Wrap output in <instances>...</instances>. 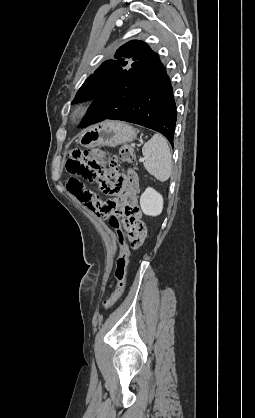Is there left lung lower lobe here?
I'll return each mask as SVG.
<instances>
[{
  "instance_id": "1",
  "label": "left lung lower lobe",
  "mask_w": 255,
  "mask_h": 418,
  "mask_svg": "<svg viewBox=\"0 0 255 418\" xmlns=\"http://www.w3.org/2000/svg\"><path fill=\"white\" fill-rule=\"evenodd\" d=\"M109 119L158 131L173 146L176 104L170 78L157 53L130 68L95 98L81 127Z\"/></svg>"
}]
</instances>
